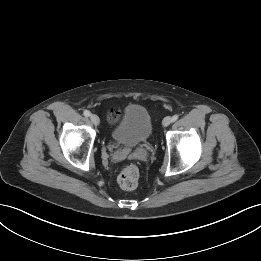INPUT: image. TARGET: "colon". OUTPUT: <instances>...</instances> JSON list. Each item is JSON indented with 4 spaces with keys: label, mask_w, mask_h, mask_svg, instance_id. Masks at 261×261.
Here are the masks:
<instances>
[{
    "label": "colon",
    "mask_w": 261,
    "mask_h": 261,
    "mask_svg": "<svg viewBox=\"0 0 261 261\" xmlns=\"http://www.w3.org/2000/svg\"><path fill=\"white\" fill-rule=\"evenodd\" d=\"M119 118V111L114 109L109 113V120L111 122L117 121ZM139 180V170L135 165L129 164L124 166L119 175H118V183L119 185L126 190L134 189Z\"/></svg>",
    "instance_id": "5ec220e1"
}]
</instances>
